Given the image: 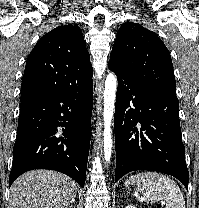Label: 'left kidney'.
I'll return each mask as SVG.
<instances>
[{
    "mask_svg": "<svg viewBox=\"0 0 199 208\" xmlns=\"http://www.w3.org/2000/svg\"><path fill=\"white\" fill-rule=\"evenodd\" d=\"M125 208H136L134 205H127Z\"/></svg>",
    "mask_w": 199,
    "mask_h": 208,
    "instance_id": "5707ae66",
    "label": "left kidney"
}]
</instances>
